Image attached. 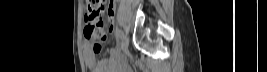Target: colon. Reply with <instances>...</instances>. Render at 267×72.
<instances>
[{
  "instance_id": "colon-1",
  "label": "colon",
  "mask_w": 267,
  "mask_h": 72,
  "mask_svg": "<svg viewBox=\"0 0 267 72\" xmlns=\"http://www.w3.org/2000/svg\"><path fill=\"white\" fill-rule=\"evenodd\" d=\"M104 11L103 1L88 0L84 5V19L86 26L84 34L93 41V50L99 53L106 40V34L101 26V15Z\"/></svg>"
}]
</instances>
